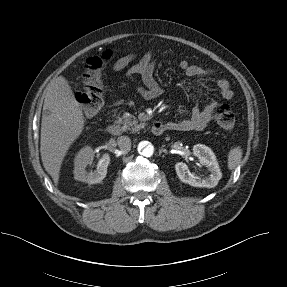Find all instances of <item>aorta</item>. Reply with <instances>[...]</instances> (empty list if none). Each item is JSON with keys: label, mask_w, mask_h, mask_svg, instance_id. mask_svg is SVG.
Masks as SVG:
<instances>
[{"label": "aorta", "mask_w": 287, "mask_h": 287, "mask_svg": "<svg viewBox=\"0 0 287 287\" xmlns=\"http://www.w3.org/2000/svg\"><path fill=\"white\" fill-rule=\"evenodd\" d=\"M139 154L144 157H151L154 154V146L149 141H141L137 146Z\"/></svg>", "instance_id": "1"}]
</instances>
